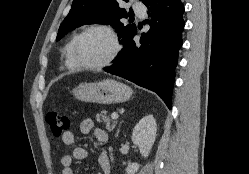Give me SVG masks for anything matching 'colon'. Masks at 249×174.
<instances>
[{
    "label": "colon",
    "mask_w": 249,
    "mask_h": 174,
    "mask_svg": "<svg viewBox=\"0 0 249 174\" xmlns=\"http://www.w3.org/2000/svg\"><path fill=\"white\" fill-rule=\"evenodd\" d=\"M46 121L55 136H62L70 128L69 117L59 110H50L46 115Z\"/></svg>",
    "instance_id": "obj_1"
}]
</instances>
